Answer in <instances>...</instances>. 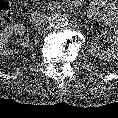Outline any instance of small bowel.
I'll list each match as a JSON object with an SVG mask.
<instances>
[{"mask_svg": "<svg viewBox=\"0 0 118 118\" xmlns=\"http://www.w3.org/2000/svg\"><path fill=\"white\" fill-rule=\"evenodd\" d=\"M116 11L112 9V11H108L107 15L111 18L112 21V29L114 30L115 33H118V18L116 17Z\"/></svg>", "mask_w": 118, "mask_h": 118, "instance_id": "obj_1", "label": "small bowel"}]
</instances>
